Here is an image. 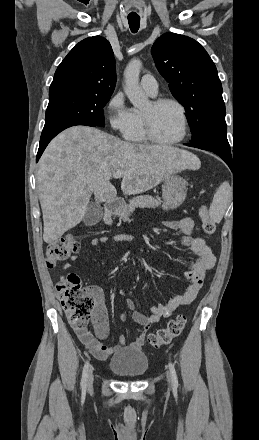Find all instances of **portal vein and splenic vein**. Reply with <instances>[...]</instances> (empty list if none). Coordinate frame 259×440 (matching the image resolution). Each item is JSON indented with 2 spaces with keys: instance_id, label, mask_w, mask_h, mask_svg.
<instances>
[{
  "instance_id": "portal-vein-and-splenic-vein-1",
  "label": "portal vein and splenic vein",
  "mask_w": 259,
  "mask_h": 440,
  "mask_svg": "<svg viewBox=\"0 0 259 440\" xmlns=\"http://www.w3.org/2000/svg\"><path fill=\"white\" fill-rule=\"evenodd\" d=\"M123 176V172L122 171H117L113 174V177L116 179H119Z\"/></svg>"
}]
</instances>
